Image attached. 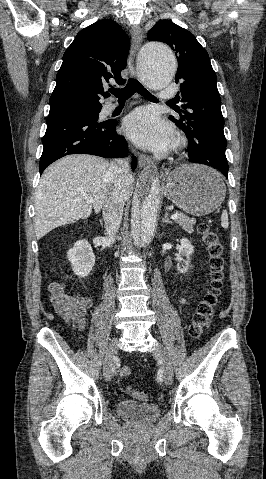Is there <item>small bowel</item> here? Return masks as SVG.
<instances>
[{
    "label": "small bowel",
    "instance_id": "c3829d8e",
    "mask_svg": "<svg viewBox=\"0 0 266 479\" xmlns=\"http://www.w3.org/2000/svg\"><path fill=\"white\" fill-rule=\"evenodd\" d=\"M48 291L55 311L73 326L83 331L87 326V315L93 306V301L81 293L67 294L62 284L54 282L49 284ZM180 304H185L186 299L180 297Z\"/></svg>",
    "mask_w": 266,
    "mask_h": 479
}]
</instances>
